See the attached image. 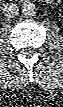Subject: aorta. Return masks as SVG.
I'll use <instances>...</instances> for the list:
<instances>
[{
    "label": "aorta",
    "mask_w": 63,
    "mask_h": 107,
    "mask_svg": "<svg viewBox=\"0 0 63 107\" xmlns=\"http://www.w3.org/2000/svg\"><path fill=\"white\" fill-rule=\"evenodd\" d=\"M22 14L25 17L35 16L37 12L36 5L32 2H26L22 5Z\"/></svg>",
    "instance_id": "1"
}]
</instances>
